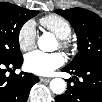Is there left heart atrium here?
I'll return each mask as SVG.
<instances>
[{
  "mask_svg": "<svg viewBox=\"0 0 102 102\" xmlns=\"http://www.w3.org/2000/svg\"><path fill=\"white\" fill-rule=\"evenodd\" d=\"M64 64V57L60 53H43L33 51L26 57L27 69L37 75H50L55 69Z\"/></svg>",
  "mask_w": 102,
  "mask_h": 102,
  "instance_id": "39dd6f15",
  "label": "left heart atrium"
}]
</instances>
